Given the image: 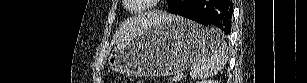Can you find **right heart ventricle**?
Listing matches in <instances>:
<instances>
[{
    "label": "right heart ventricle",
    "instance_id": "obj_1",
    "mask_svg": "<svg viewBox=\"0 0 307 83\" xmlns=\"http://www.w3.org/2000/svg\"><path fill=\"white\" fill-rule=\"evenodd\" d=\"M148 7H149L148 5H144V6H143V8H148Z\"/></svg>",
    "mask_w": 307,
    "mask_h": 83
}]
</instances>
